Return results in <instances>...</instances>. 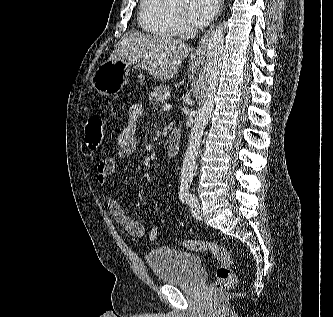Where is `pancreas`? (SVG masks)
<instances>
[{
	"label": "pancreas",
	"instance_id": "pancreas-1",
	"mask_svg": "<svg viewBox=\"0 0 333 317\" xmlns=\"http://www.w3.org/2000/svg\"><path fill=\"white\" fill-rule=\"evenodd\" d=\"M170 94L169 86L154 87L149 93V100L154 104H159L164 101V97Z\"/></svg>",
	"mask_w": 333,
	"mask_h": 317
}]
</instances>
